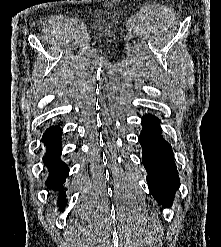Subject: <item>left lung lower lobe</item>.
<instances>
[{
  "label": "left lung lower lobe",
  "instance_id": "0a47b994",
  "mask_svg": "<svg viewBox=\"0 0 221 247\" xmlns=\"http://www.w3.org/2000/svg\"><path fill=\"white\" fill-rule=\"evenodd\" d=\"M143 130L139 136L142 160L148 173L147 182L154 198L169 207L179 188V177L170 144L161 137L159 119L145 115Z\"/></svg>",
  "mask_w": 221,
  "mask_h": 247
}]
</instances>
